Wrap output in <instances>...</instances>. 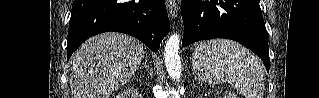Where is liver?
Here are the masks:
<instances>
[{
	"label": "liver",
	"instance_id": "1",
	"mask_svg": "<svg viewBox=\"0 0 319 98\" xmlns=\"http://www.w3.org/2000/svg\"><path fill=\"white\" fill-rule=\"evenodd\" d=\"M143 54L144 45L125 34L88 39L70 58L72 98H109L132 78Z\"/></svg>",
	"mask_w": 319,
	"mask_h": 98
}]
</instances>
